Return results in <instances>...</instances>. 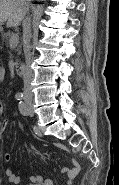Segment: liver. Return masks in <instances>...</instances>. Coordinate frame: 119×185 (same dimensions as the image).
Returning a JSON list of instances; mask_svg holds the SVG:
<instances>
[{
  "label": "liver",
  "mask_w": 119,
  "mask_h": 185,
  "mask_svg": "<svg viewBox=\"0 0 119 185\" xmlns=\"http://www.w3.org/2000/svg\"><path fill=\"white\" fill-rule=\"evenodd\" d=\"M28 0H0V26L7 21L8 27L19 26L26 13Z\"/></svg>",
  "instance_id": "1"
}]
</instances>
